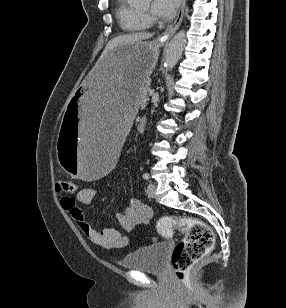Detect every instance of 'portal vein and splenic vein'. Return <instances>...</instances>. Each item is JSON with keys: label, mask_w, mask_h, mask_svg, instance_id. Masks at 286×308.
Masks as SVG:
<instances>
[{"label": "portal vein and splenic vein", "mask_w": 286, "mask_h": 308, "mask_svg": "<svg viewBox=\"0 0 286 308\" xmlns=\"http://www.w3.org/2000/svg\"><path fill=\"white\" fill-rule=\"evenodd\" d=\"M148 93H149V95H153L154 90H153V89H149V90H148Z\"/></svg>", "instance_id": "portal-vein-and-splenic-vein-1"}]
</instances>
